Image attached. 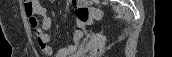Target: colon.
Here are the masks:
<instances>
[{
    "label": "colon",
    "instance_id": "obj_1",
    "mask_svg": "<svg viewBox=\"0 0 172 57\" xmlns=\"http://www.w3.org/2000/svg\"><path fill=\"white\" fill-rule=\"evenodd\" d=\"M75 15L79 22L89 24L96 19L102 18L104 12L103 10L95 7L80 6L76 8Z\"/></svg>",
    "mask_w": 172,
    "mask_h": 57
}]
</instances>
